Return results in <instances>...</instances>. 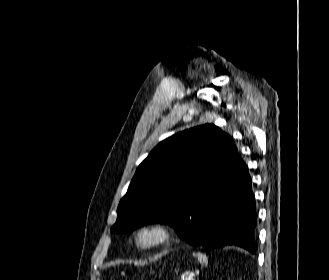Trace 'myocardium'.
<instances>
[{
    "instance_id": "myocardium-1",
    "label": "myocardium",
    "mask_w": 329,
    "mask_h": 280,
    "mask_svg": "<svg viewBox=\"0 0 329 280\" xmlns=\"http://www.w3.org/2000/svg\"><path fill=\"white\" fill-rule=\"evenodd\" d=\"M170 227L160 221L139 225L132 234L134 246L141 251L159 249L167 245L171 239ZM144 237H147L145 240Z\"/></svg>"
}]
</instances>
